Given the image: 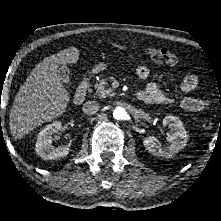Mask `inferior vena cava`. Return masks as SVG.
I'll list each match as a JSON object with an SVG mask.
<instances>
[{
	"label": "inferior vena cava",
	"mask_w": 221,
	"mask_h": 221,
	"mask_svg": "<svg viewBox=\"0 0 221 221\" xmlns=\"http://www.w3.org/2000/svg\"><path fill=\"white\" fill-rule=\"evenodd\" d=\"M99 104L96 101L89 100L83 105V112L88 115H93L99 111Z\"/></svg>",
	"instance_id": "inferior-vena-cava-1"
}]
</instances>
